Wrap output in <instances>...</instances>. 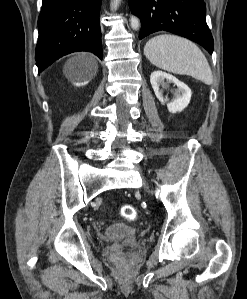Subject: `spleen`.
I'll return each mask as SVG.
<instances>
[{
	"mask_svg": "<svg viewBox=\"0 0 247 299\" xmlns=\"http://www.w3.org/2000/svg\"><path fill=\"white\" fill-rule=\"evenodd\" d=\"M146 58L156 67L171 73L189 75L207 85L213 82L210 65L192 41L175 35H158L145 47Z\"/></svg>",
	"mask_w": 247,
	"mask_h": 299,
	"instance_id": "1",
	"label": "spleen"
}]
</instances>
